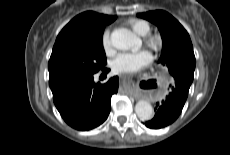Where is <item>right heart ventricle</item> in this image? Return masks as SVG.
Segmentation results:
<instances>
[{
	"label": "right heart ventricle",
	"mask_w": 230,
	"mask_h": 155,
	"mask_svg": "<svg viewBox=\"0 0 230 155\" xmlns=\"http://www.w3.org/2000/svg\"><path fill=\"white\" fill-rule=\"evenodd\" d=\"M130 25L138 35L145 36L150 32V25L146 21L132 20Z\"/></svg>",
	"instance_id": "e07e8e85"
}]
</instances>
